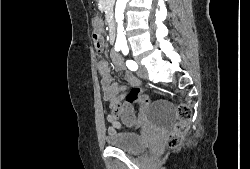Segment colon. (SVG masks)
I'll return each instance as SVG.
<instances>
[{"label":"colon","mask_w":250,"mask_h":169,"mask_svg":"<svg viewBox=\"0 0 250 169\" xmlns=\"http://www.w3.org/2000/svg\"><path fill=\"white\" fill-rule=\"evenodd\" d=\"M94 28V27H93ZM93 52H103V41L102 36L100 34L99 28L95 27L93 31ZM125 100H133L140 101V111H138V120L136 121V127H142L145 122V116H147V108L151 101L149 95H142L140 89H133L132 91H128L127 95H125ZM187 104H189V99H182V102H176V115H178V120L180 122L176 123V126L172 127L171 133L167 135L166 143L168 145L169 150H176L180 143H183V139L186 138L184 131H190L191 127H193L191 109L187 108ZM110 108L112 110L113 120H118V117L121 116V108L122 105L120 103H110Z\"/></svg>","instance_id":"5ec220e1"}]
</instances>
